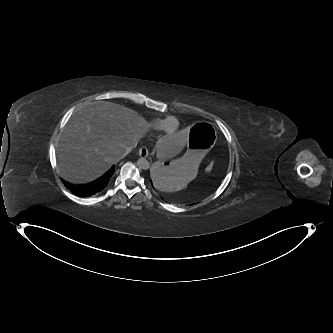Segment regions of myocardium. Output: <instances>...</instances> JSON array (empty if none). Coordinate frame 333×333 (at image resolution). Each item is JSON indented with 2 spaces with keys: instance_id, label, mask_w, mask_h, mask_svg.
Instances as JSON below:
<instances>
[{
  "instance_id": "1",
  "label": "myocardium",
  "mask_w": 333,
  "mask_h": 333,
  "mask_svg": "<svg viewBox=\"0 0 333 333\" xmlns=\"http://www.w3.org/2000/svg\"><path fill=\"white\" fill-rule=\"evenodd\" d=\"M171 120H174V117H173V116L168 117V118L165 120V122H164V125H163V128H162V131H163V138L172 137V136H174V135L177 133V131H178V127H175V129H174L173 131H171V132L168 130L167 125H168V123H169Z\"/></svg>"
}]
</instances>
